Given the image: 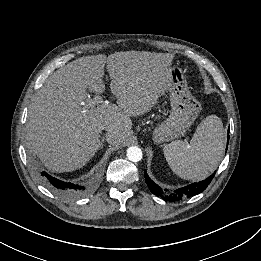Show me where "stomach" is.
Masks as SVG:
<instances>
[{
	"label": "stomach",
	"mask_w": 261,
	"mask_h": 261,
	"mask_svg": "<svg viewBox=\"0 0 261 261\" xmlns=\"http://www.w3.org/2000/svg\"><path fill=\"white\" fill-rule=\"evenodd\" d=\"M171 112L169 117L152 131L156 144L182 137L198 117L201 104L191 95L182 69L171 67L168 86Z\"/></svg>",
	"instance_id": "1"
}]
</instances>
